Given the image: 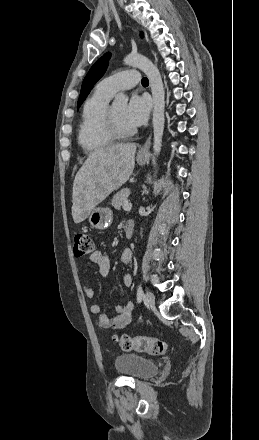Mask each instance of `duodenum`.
I'll return each instance as SVG.
<instances>
[{
  "mask_svg": "<svg viewBox=\"0 0 259 440\" xmlns=\"http://www.w3.org/2000/svg\"><path fill=\"white\" fill-rule=\"evenodd\" d=\"M133 232H134V221L129 219L125 223V237L127 239L132 238Z\"/></svg>",
  "mask_w": 259,
  "mask_h": 440,
  "instance_id": "duodenum-1",
  "label": "duodenum"
}]
</instances>
